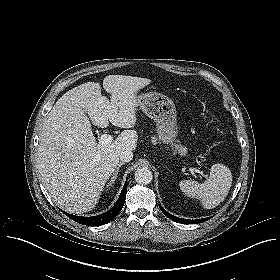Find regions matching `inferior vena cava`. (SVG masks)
Wrapping results in <instances>:
<instances>
[{
	"mask_svg": "<svg viewBox=\"0 0 280 280\" xmlns=\"http://www.w3.org/2000/svg\"><path fill=\"white\" fill-rule=\"evenodd\" d=\"M133 158V152L132 151H122L119 155V160L123 163L130 162Z\"/></svg>",
	"mask_w": 280,
	"mask_h": 280,
	"instance_id": "602c4592",
	"label": "inferior vena cava"
}]
</instances>
